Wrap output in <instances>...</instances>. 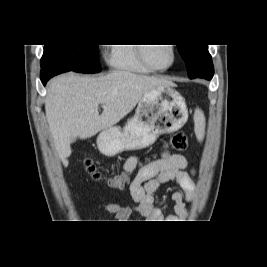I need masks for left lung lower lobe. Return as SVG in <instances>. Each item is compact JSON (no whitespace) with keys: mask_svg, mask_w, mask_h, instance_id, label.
<instances>
[{"mask_svg":"<svg viewBox=\"0 0 267 267\" xmlns=\"http://www.w3.org/2000/svg\"><path fill=\"white\" fill-rule=\"evenodd\" d=\"M213 74H214V71H207V72L200 74L197 78L211 80L213 77Z\"/></svg>","mask_w":267,"mask_h":267,"instance_id":"0a47b994","label":"left lung lower lobe"}]
</instances>
